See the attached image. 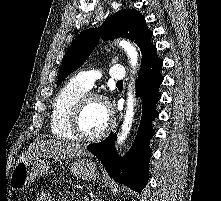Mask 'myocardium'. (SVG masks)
Masks as SVG:
<instances>
[{"instance_id": "myocardium-1", "label": "myocardium", "mask_w": 221, "mask_h": 201, "mask_svg": "<svg viewBox=\"0 0 221 201\" xmlns=\"http://www.w3.org/2000/svg\"><path fill=\"white\" fill-rule=\"evenodd\" d=\"M91 101H99L103 103L109 115V122L106 128L96 135H86L83 133L81 129V118L83 112L86 106ZM114 124H115V116L112 109V105L106 96L99 93H85L75 104L70 119V129L74 137L78 140L86 142H94L104 138L113 129Z\"/></svg>"}]
</instances>
